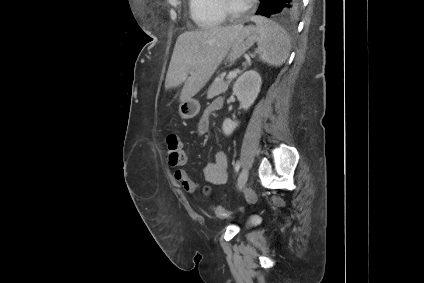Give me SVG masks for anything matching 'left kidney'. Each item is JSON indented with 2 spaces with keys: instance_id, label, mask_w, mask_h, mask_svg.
Returning a JSON list of instances; mask_svg holds the SVG:
<instances>
[{
  "instance_id": "5707ae66",
  "label": "left kidney",
  "mask_w": 424,
  "mask_h": 283,
  "mask_svg": "<svg viewBox=\"0 0 424 283\" xmlns=\"http://www.w3.org/2000/svg\"><path fill=\"white\" fill-rule=\"evenodd\" d=\"M261 84V76L254 70L246 71L236 80L233 86V94L240 102L241 108L248 110L253 105L260 92ZM237 127V121L226 118L222 130L226 136H229Z\"/></svg>"
}]
</instances>
